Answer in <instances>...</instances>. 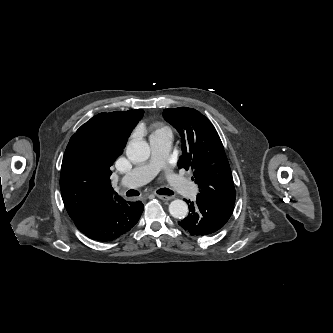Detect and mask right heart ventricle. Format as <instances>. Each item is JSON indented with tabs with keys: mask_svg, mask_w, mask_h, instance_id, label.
Returning <instances> with one entry per match:
<instances>
[{
	"mask_svg": "<svg viewBox=\"0 0 333 333\" xmlns=\"http://www.w3.org/2000/svg\"><path fill=\"white\" fill-rule=\"evenodd\" d=\"M159 132H168V133H170V130L167 127H160L154 133H159Z\"/></svg>",
	"mask_w": 333,
	"mask_h": 333,
	"instance_id": "e07e8e85",
	"label": "right heart ventricle"
}]
</instances>
